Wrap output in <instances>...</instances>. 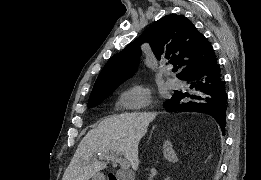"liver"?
Segmentation results:
<instances>
[{"label":"liver","mask_w":261,"mask_h":180,"mask_svg":"<svg viewBox=\"0 0 261 180\" xmlns=\"http://www.w3.org/2000/svg\"><path fill=\"white\" fill-rule=\"evenodd\" d=\"M154 118L150 112L107 116L98 128L90 130L81 140L69 166L68 180H90L107 168V164L98 162V158L112 152L123 154L132 170H138L139 142Z\"/></svg>","instance_id":"6515ba94"}]
</instances>
